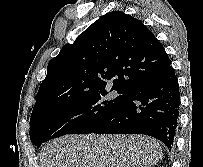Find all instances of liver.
Listing matches in <instances>:
<instances>
[{"mask_svg":"<svg viewBox=\"0 0 203 167\" xmlns=\"http://www.w3.org/2000/svg\"><path fill=\"white\" fill-rule=\"evenodd\" d=\"M162 147L141 135H68L48 142L38 167H151Z\"/></svg>","mask_w":203,"mask_h":167,"instance_id":"1","label":"liver"}]
</instances>
